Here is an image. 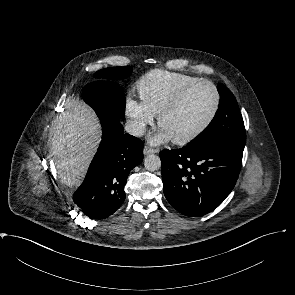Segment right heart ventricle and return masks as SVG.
I'll use <instances>...</instances> for the list:
<instances>
[{
	"label": "right heart ventricle",
	"instance_id": "right-heart-ventricle-1",
	"mask_svg": "<svg viewBox=\"0 0 295 295\" xmlns=\"http://www.w3.org/2000/svg\"><path fill=\"white\" fill-rule=\"evenodd\" d=\"M197 79L187 74L153 70L139 80L138 91L143 102L158 115L183 87Z\"/></svg>",
	"mask_w": 295,
	"mask_h": 295
}]
</instances>
